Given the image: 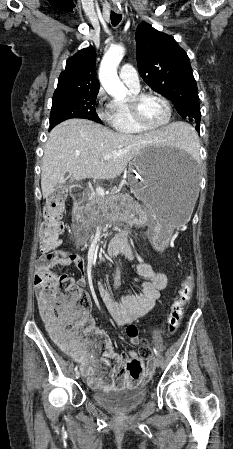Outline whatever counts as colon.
Masks as SVG:
<instances>
[{
	"mask_svg": "<svg viewBox=\"0 0 233 449\" xmlns=\"http://www.w3.org/2000/svg\"><path fill=\"white\" fill-rule=\"evenodd\" d=\"M65 198L64 193L53 194L47 198L45 206V221L41 231L42 250L45 254L38 260L35 276L37 284L41 286L39 308L56 344L63 345L69 340L81 338L89 346H99L104 337L93 328L92 319L88 314L90 300L87 294L78 289L67 276L54 277L48 270L51 260L59 255H56V248L60 243L63 227L61 217ZM193 289L194 278L192 274H188L167 316L169 334L177 332ZM150 355L151 348L147 341L142 339L138 354L125 356L120 362L118 375H141L142 360Z\"/></svg>",
	"mask_w": 233,
	"mask_h": 449,
	"instance_id": "obj_1",
	"label": "colon"
}]
</instances>
